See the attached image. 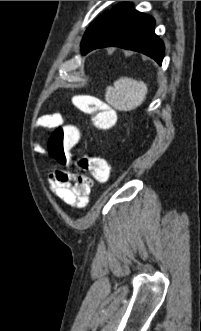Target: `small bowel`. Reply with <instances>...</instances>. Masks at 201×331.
I'll return each mask as SVG.
<instances>
[{"label":"small bowel","instance_id":"1","mask_svg":"<svg viewBox=\"0 0 201 331\" xmlns=\"http://www.w3.org/2000/svg\"><path fill=\"white\" fill-rule=\"evenodd\" d=\"M63 125V118L58 113L41 116L36 122V130L53 129ZM34 151L40 154L46 153L44 146L38 139L33 145ZM51 190L65 204L83 208L89 201L92 179L85 174H74L67 169L58 168L48 175Z\"/></svg>","mask_w":201,"mask_h":331}]
</instances>
